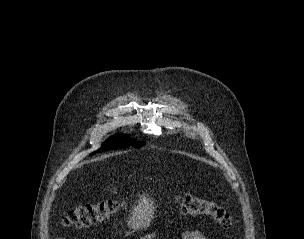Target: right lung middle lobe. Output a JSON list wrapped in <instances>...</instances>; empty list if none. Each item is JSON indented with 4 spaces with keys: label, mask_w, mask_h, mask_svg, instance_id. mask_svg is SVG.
Listing matches in <instances>:
<instances>
[{
    "label": "right lung middle lobe",
    "mask_w": 304,
    "mask_h": 239,
    "mask_svg": "<svg viewBox=\"0 0 304 239\" xmlns=\"http://www.w3.org/2000/svg\"><path fill=\"white\" fill-rule=\"evenodd\" d=\"M144 144L145 142L134 141L132 138H130L127 135L119 134V135H114L113 137H110L108 140H106L103 143L102 147L99 149V152L119 149V148H126L128 146L139 148ZM93 154H95V152Z\"/></svg>",
    "instance_id": "right-lung-middle-lobe-1"
}]
</instances>
